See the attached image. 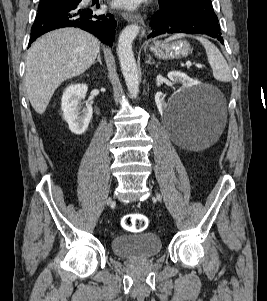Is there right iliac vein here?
I'll return each mask as SVG.
<instances>
[{"mask_svg": "<svg viewBox=\"0 0 267 301\" xmlns=\"http://www.w3.org/2000/svg\"><path fill=\"white\" fill-rule=\"evenodd\" d=\"M111 201H112V199L109 198V199L107 200V203L109 204V203H111Z\"/></svg>", "mask_w": 267, "mask_h": 301, "instance_id": "1", "label": "right iliac vein"}]
</instances>
